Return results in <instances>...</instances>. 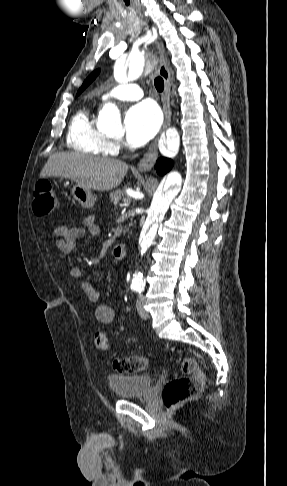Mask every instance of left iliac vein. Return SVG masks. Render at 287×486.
<instances>
[{
    "label": "left iliac vein",
    "instance_id": "4c4485c4",
    "mask_svg": "<svg viewBox=\"0 0 287 486\" xmlns=\"http://www.w3.org/2000/svg\"><path fill=\"white\" fill-rule=\"evenodd\" d=\"M145 305V297L143 295H139L136 301V308L137 312L143 319L149 318V313L144 308Z\"/></svg>",
    "mask_w": 287,
    "mask_h": 486
}]
</instances>
